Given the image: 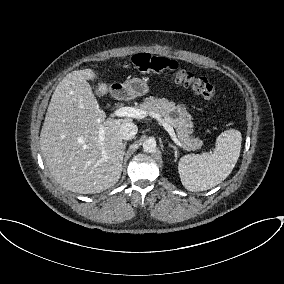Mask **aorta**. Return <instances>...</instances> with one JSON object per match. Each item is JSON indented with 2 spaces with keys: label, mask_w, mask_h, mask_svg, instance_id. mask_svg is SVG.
<instances>
[{
  "label": "aorta",
  "mask_w": 284,
  "mask_h": 284,
  "mask_svg": "<svg viewBox=\"0 0 284 284\" xmlns=\"http://www.w3.org/2000/svg\"><path fill=\"white\" fill-rule=\"evenodd\" d=\"M143 150L148 153H153L156 150V141L152 138L144 141Z\"/></svg>",
  "instance_id": "1"
}]
</instances>
